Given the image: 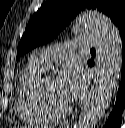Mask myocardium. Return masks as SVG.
<instances>
[{"label": "myocardium", "instance_id": "1", "mask_svg": "<svg viewBox=\"0 0 125 128\" xmlns=\"http://www.w3.org/2000/svg\"><path fill=\"white\" fill-rule=\"evenodd\" d=\"M52 77H54L52 73L46 72L42 74L34 86V95L40 109L50 118L56 119L69 114L72 111L73 107L72 105H68L62 108H58V107H54L48 102L44 93V86L46 82Z\"/></svg>", "mask_w": 125, "mask_h": 128}]
</instances>
